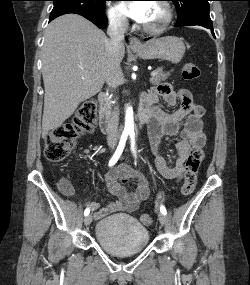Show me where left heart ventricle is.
<instances>
[{
	"mask_svg": "<svg viewBox=\"0 0 250 285\" xmlns=\"http://www.w3.org/2000/svg\"><path fill=\"white\" fill-rule=\"evenodd\" d=\"M163 18L164 12L162 8L158 4L154 3L144 24L151 27L157 26L163 21Z\"/></svg>",
	"mask_w": 250,
	"mask_h": 285,
	"instance_id": "1",
	"label": "left heart ventricle"
}]
</instances>
